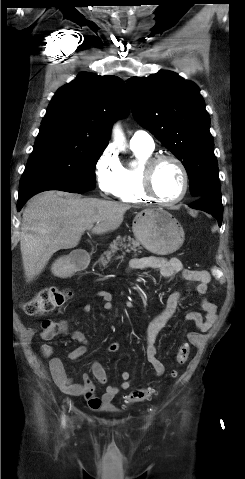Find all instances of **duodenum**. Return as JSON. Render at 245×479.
I'll list each match as a JSON object with an SVG mask.
<instances>
[{"instance_id": "1", "label": "duodenum", "mask_w": 245, "mask_h": 479, "mask_svg": "<svg viewBox=\"0 0 245 479\" xmlns=\"http://www.w3.org/2000/svg\"><path fill=\"white\" fill-rule=\"evenodd\" d=\"M72 262L77 270H81L87 266L88 256L85 254L74 256Z\"/></svg>"}]
</instances>
